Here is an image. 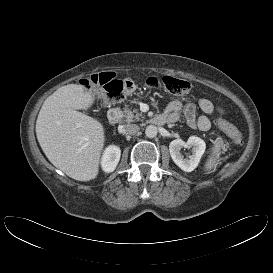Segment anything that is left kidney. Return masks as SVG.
<instances>
[{
    "mask_svg": "<svg viewBox=\"0 0 273 273\" xmlns=\"http://www.w3.org/2000/svg\"><path fill=\"white\" fill-rule=\"evenodd\" d=\"M192 147V155L187 159L181 154L182 147ZM205 142L196 136L189 137L187 142L181 139L173 140L169 145V151L175 164L185 172L193 171L199 164L202 155L205 152Z\"/></svg>",
    "mask_w": 273,
    "mask_h": 273,
    "instance_id": "5707ae66",
    "label": "left kidney"
}]
</instances>
